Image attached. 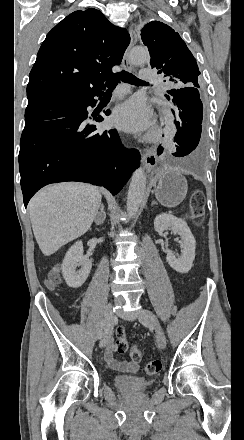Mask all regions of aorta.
Instances as JSON below:
<instances>
[{
    "label": "aorta",
    "instance_id": "1",
    "mask_svg": "<svg viewBox=\"0 0 244 440\" xmlns=\"http://www.w3.org/2000/svg\"><path fill=\"white\" fill-rule=\"evenodd\" d=\"M149 58V52L143 47H134L129 53V61L134 64H142ZM146 190L145 171L139 167L132 175L128 195H127V212L130 217H134L143 200Z\"/></svg>",
    "mask_w": 244,
    "mask_h": 440
}]
</instances>
